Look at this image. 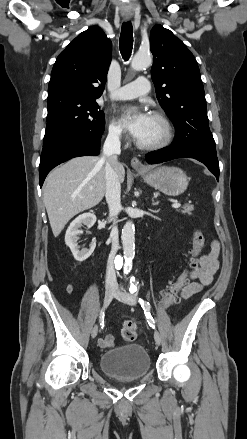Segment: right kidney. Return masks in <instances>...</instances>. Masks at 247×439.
<instances>
[{"label":"right kidney","instance_id":"ca27d5eb","mask_svg":"<svg viewBox=\"0 0 247 439\" xmlns=\"http://www.w3.org/2000/svg\"><path fill=\"white\" fill-rule=\"evenodd\" d=\"M95 222L96 216L87 212L75 218L66 231L65 243L70 248L75 260L79 262H83L89 258L96 247V243L94 242L90 245L89 249H82L81 251L79 250L77 241L79 239V235L83 233L80 228L84 225L88 228H91Z\"/></svg>","mask_w":247,"mask_h":439}]
</instances>
